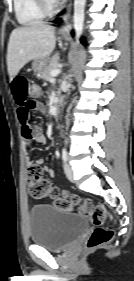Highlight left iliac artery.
<instances>
[{
  "mask_svg": "<svg viewBox=\"0 0 134 281\" xmlns=\"http://www.w3.org/2000/svg\"><path fill=\"white\" fill-rule=\"evenodd\" d=\"M62 159L64 162L67 161V152L65 148L62 149Z\"/></svg>",
  "mask_w": 134,
  "mask_h": 281,
  "instance_id": "1",
  "label": "left iliac artery"
}]
</instances>
